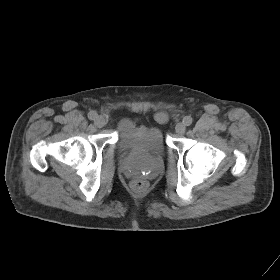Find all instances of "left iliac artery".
I'll use <instances>...</instances> for the list:
<instances>
[{"instance_id":"left-iliac-artery-1","label":"left iliac artery","mask_w":280,"mask_h":280,"mask_svg":"<svg viewBox=\"0 0 280 280\" xmlns=\"http://www.w3.org/2000/svg\"><path fill=\"white\" fill-rule=\"evenodd\" d=\"M192 117L190 116H186L183 118V123L186 125V126H190L192 124Z\"/></svg>"}]
</instances>
